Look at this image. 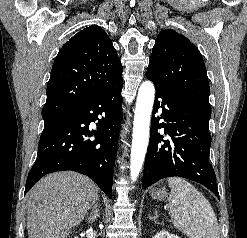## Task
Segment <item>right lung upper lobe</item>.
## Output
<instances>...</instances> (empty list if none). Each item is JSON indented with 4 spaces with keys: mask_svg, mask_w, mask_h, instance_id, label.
I'll list each match as a JSON object with an SVG mask.
<instances>
[{
    "mask_svg": "<svg viewBox=\"0 0 247 238\" xmlns=\"http://www.w3.org/2000/svg\"><path fill=\"white\" fill-rule=\"evenodd\" d=\"M122 80V65L106 32L91 25L76 33L59 51L42 110L50 121Z\"/></svg>",
    "mask_w": 247,
    "mask_h": 238,
    "instance_id": "1",
    "label": "right lung upper lobe"
}]
</instances>
